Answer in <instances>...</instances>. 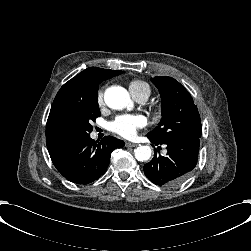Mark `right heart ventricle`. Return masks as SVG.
I'll return each mask as SVG.
<instances>
[{"label":"right heart ventricle","instance_id":"e07e8e85","mask_svg":"<svg viewBox=\"0 0 251 251\" xmlns=\"http://www.w3.org/2000/svg\"><path fill=\"white\" fill-rule=\"evenodd\" d=\"M133 97L141 102L146 101L152 94V87L149 83L139 78H132L128 82Z\"/></svg>","mask_w":251,"mask_h":251}]
</instances>
